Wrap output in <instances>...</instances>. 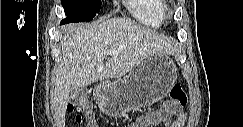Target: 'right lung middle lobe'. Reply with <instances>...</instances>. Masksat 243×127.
Here are the masks:
<instances>
[{"mask_svg":"<svg viewBox=\"0 0 243 127\" xmlns=\"http://www.w3.org/2000/svg\"><path fill=\"white\" fill-rule=\"evenodd\" d=\"M66 18L61 24L90 21L100 11V0H61Z\"/></svg>","mask_w":243,"mask_h":127,"instance_id":"right-lung-middle-lobe-1","label":"right lung middle lobe"}]
</instances>
